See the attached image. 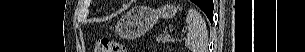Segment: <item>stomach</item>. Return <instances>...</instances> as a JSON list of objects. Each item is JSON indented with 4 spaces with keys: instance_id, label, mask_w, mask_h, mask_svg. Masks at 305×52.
I'll return each instance as SVG.
<instances>
[{
    "instance_id": "stomach-1",
    "label": "stomach",
    "mask_w": 305,
    "mask_h": 52,
    "mask_svg": "<svg viewBox=\"0 0 305 52\" xmlns=\"http://www.w3.org/2000/svg\"><path fill=\"white\" fill-rule=\"evenodd\" d=\"M176 12L177 9L172 4L156 10L145 6L134 7L117 22V32L124 38H137L151 29L159 18L171 19Z\"/></svg>"
}]
</instances>
